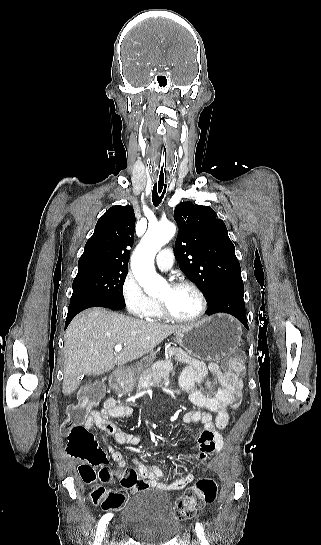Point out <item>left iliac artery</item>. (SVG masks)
<instances>
[{
	"instance_id": "left-iliac-artery-1",
	"label": "left iliac artery",
	"mask_w": 321,
	"mask_h": 545,
	"mask_svg": "<svg viewBox=\"0 0 321 545\" xmlns=\"http://www.w3.org/2000/svg\"><path fill=\"white\" fill-rule=\"evenodd\" d=\"M195 530H196L198 538L201 541V545H209L205 538L203 527L200 523H196Z\"/></svg>"
}]
</instances>
